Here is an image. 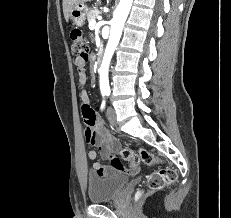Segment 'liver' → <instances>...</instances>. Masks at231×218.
Wrapping results in <instances>:
<instances>
[{
    "instance_id": "liver-1",
    "label": "liver",
    "mask_w": 231,
    "mask_h": 218,
    "mask_svg": "<svg viewBox=\"0 0 231 218\" xmlns=\"http://www.w3.org/2000/svg\"><path fill=\"white\" fill-rule=\"evenodd\" d=\"M91 0H63V13L65 20L68 21L70 12L76 4H84Z\"/></svg>"
}]
</instances>
